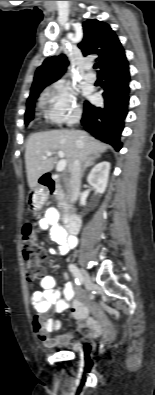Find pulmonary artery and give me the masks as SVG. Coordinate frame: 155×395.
I'll return each instance as SVG.
<instances>
[{
	"label": "pulmonary artery",
	"instance_id": "obj_1",
	"mask_svg": "<svg viewBox=\"0 0 155 395\" xmlns=\"http://www.w3.org/2000/svg\"><path fill=\"white\" fill-rule=\"evenodd\" d=\"M84 79L87 82L93 83L96 80V76L92 72H88V73L85 74Z\"/></svg>",
	"mask_w": 155,
	"mask_h": 395
}]
</instances>
